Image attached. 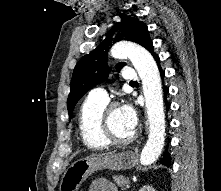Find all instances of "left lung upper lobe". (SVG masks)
<instances>
[{"instance_id":"obj_1","label":"left lung upper lobe","mask_w":221,"mask_h":191,"mask_svg":"<svg viewBox=\"0 0 221 191\" xmlns=\"http://www.w3.org/2000/svg\"><path fill=\"white\" fill-rule=\"evenodd\" d=\"M118 30L119 32L113 38V34ZM121 40L137 43L146 49L152 43L144 22L137 18L122 15L121 22L116 23L100 45L88 55L83 56L76 64L71 80V91L67 100L70 117L80 98L93 86L107 79L109 75L107 65L109 46L111 43ZM124 65V62L118 63L116 69L119 71Z\"/></svg>"}]
</instances>
